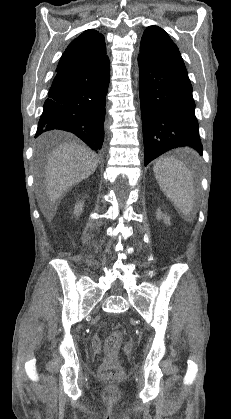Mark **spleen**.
I'll return each mask as SVG.
<instances>
[{"mask_svg": "<svg viewBox=\"0 0 231 419\" xmlns=\"http://www.w3.org/2000/svg\"><path fill=\"white\" fill-rule=\"evenodd\" d=\"M156 180L175 208L183 215L191 214L194 205V184L190 171L179 160L159 158L153 167Z\"/></svg>", "mask_w": 231, "mask_h": 419, "instance_id": "3e777b00", "label": "spleen"}]
</instances>
